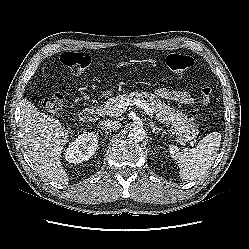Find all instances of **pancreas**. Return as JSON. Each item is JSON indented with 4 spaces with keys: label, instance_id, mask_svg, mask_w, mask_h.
<instances>
[{
    "label": "pancreas",
    "instance_id": "pancreas-1",
    "mask_svg": "<svg viewBox=\"0 0 249 249\" xmlns=\"http://www.w3.org/2000/svg\"><path fill=\"white\" fill-rule=\"evenodd\" d=\"M134 97L144 100L150 106L153 113H156L161 122L166 123V125L171 124L173 133L178 136L177 141L179 143L184 145L194 140L199 134L197 129L198 125L193 122L192 118H189L184 113L169 107L166 103L149 92H131L129 94L109 98L101 108V112L105 115L112 116L114 114L113 108L116 104L126 101L127 99H133Z\"/></svg>",
    "mask_w": 249,
    "mask_h": 249
}]
</instances>
